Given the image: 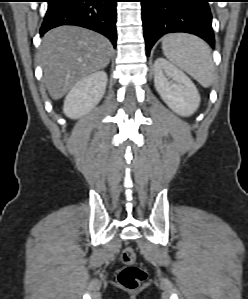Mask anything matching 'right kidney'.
<instances>
[{
    "label": "right kidney",
    "instance_id": "ca27d5eb",
    "mask_svg": "<svg viewBox=\"0 0 248 299\" xmlns=\"http://www.w3.org/2000/svg\"><path fill=\"white\" fill-rule=\"evenodd\" d=\"M107 74L94 72L79 80L67 94L63 112L71 119H78L96 107L105 94Z\"/></svg>",
    "mask_w": 248,
    "mask_h": 299
}]
</instances>
